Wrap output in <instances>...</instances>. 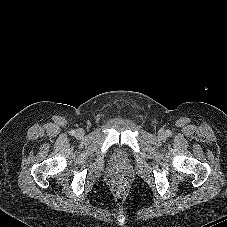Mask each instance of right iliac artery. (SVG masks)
<instances>
[{
  "label": "right iliac artery",
  "mask_w": 227,
  "mask_h": 227,
  "mask_svg": "<svg viewBox=\"0 0 227 227\" xmlns=\"http://www.w3.org/2000/svg\"><path fill=\"white\" fill-rule=\"evenodd\" d=\"M70 133H71V135H74V134H75V131H74V130H72Z\"/></svg>",
  "instance_id": "obj_1"
}]
</instances>
